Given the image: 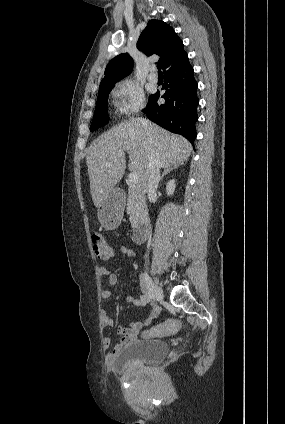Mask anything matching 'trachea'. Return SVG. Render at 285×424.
I'll return each instance as SVG.
<instances>
[{
    "mask_svg": "<svg viewBox=\"0 0 285 424\" xmlns=\"http://www.w3.org/2000/svg\"><path fill=\"white\" fill-rule=\"evenodd\" d=\"M157 69H158V74H162V72H161V65L160 64L157 65Z\"/></svg>",
    "mask_w": 285,
    "mask_h": 424,
    "instance_id": "1",
    "label": "trachea"
}]
</instances>
